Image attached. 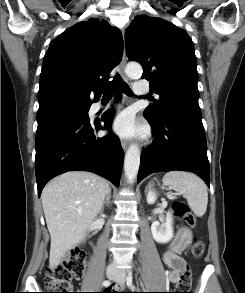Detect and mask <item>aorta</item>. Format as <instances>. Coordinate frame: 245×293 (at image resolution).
<instances>
[{"instance_id": "1", "label": "aorta", "mask_w": 245, "mask_h": 293, "mask_svg": "<svg viewBox=\"0 0 245 293\" xmlns=\"http://www.w3.org/2000/svg\"><path fill=\"white\" fill-rule=\"evenodd\" d=\"M125 73L129 77H136L142 74V67L138 63H128L125 68ZM140 166V150L137 144H132L126 154L124 160L125 176L130 182H133L137 177Z\"/></svg>"}]
</instances>
